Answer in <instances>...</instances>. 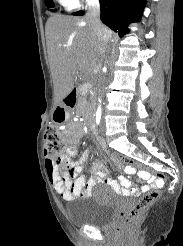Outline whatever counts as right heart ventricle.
<instances>
[{
    "label": "right heart ventricle",
    "mask_w": 183,
    "mask_h": 246,
    "mask_svg": "<svg viewBox=\"0 0 183 246\" xmlns=\"http://www.w3.org/2000/svg\"><path fill=\"white\" fill-rule=\"evenodd\" d=\"M58 2L66 7H69L68 2H66L65 0H58ZM70 8V7H69Z\"/></svg>",
    "instance_id": "right-heart-ventricle-1"
}]
</instances>
